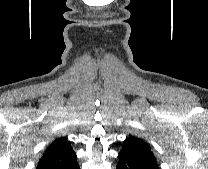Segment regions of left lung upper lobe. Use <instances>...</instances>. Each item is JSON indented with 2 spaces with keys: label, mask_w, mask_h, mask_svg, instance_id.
<instances>
[{
  "label": "left lung upper lobe",
  "mask_w": 208,
  "mask_h": 169,
  "mask_svg": "<svg viewBox=\"0 0 208 169\" xmlns=\"http://www.w3.org/2000/svg\"><path fill=\"white\" fill-rule=\"evenodd\" d=\"M122 151H127L140 158L147 166L159 169L156 158L149 145L141 138L129 135L124 141Z\"/></svg>",
  "instance_id": "left-lung-upper-lobe-1"
}]
</instances>
